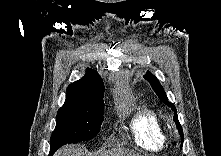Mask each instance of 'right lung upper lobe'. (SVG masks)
Wrapping results in <instances>:
<instances>
[{"instance_id":"obj_1","label":"right lung upper lobe","mask_w":221,"mask_h":156,"mask_svg":"<svg viewBox=\"0 0 221 156\" xmlns=\"http://www.w3.org/2000/svg\"><path fill=\"white\" fill-rule=\"evenodd\" d=\"M104 89L99 74L87 68L84 77L68 86L64 105L103 102Z\"/></svg>"}]
</instances>
